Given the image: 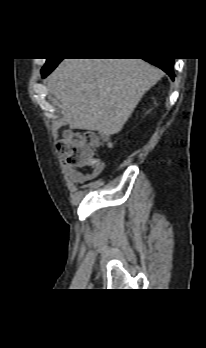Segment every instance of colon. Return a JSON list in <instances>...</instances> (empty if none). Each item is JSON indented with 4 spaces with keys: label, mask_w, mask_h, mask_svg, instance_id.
Wrapping results in <instances>:
<instances>
[{
    "label": "colon",
    "mask_w": 206,
    "mask_h": 348,
    "mask_svg": "<svg viewBox=\"0 0 206 348\" xmlns=\"http://www.w3.org/2000/svg\"><path fill=\"white\" fill-rule=\"evenodd\" d=\"M107 139L104 133L69 132L57 144V151L70 166L79 168L95 161V148Z\"/></svg>",
    "instance_id": "colon-1"
}]
</instances>
